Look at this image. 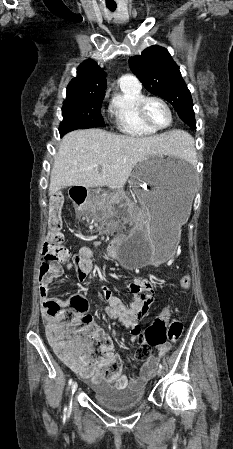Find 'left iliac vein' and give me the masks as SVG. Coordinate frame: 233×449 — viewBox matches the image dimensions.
Listing matches in <instances>:
<instances>
[{"mask_svg":"<svg viewBox=\"0 0 233 449\" xmlns=\"http://www.w3.org/2000/svg\"><path fill=\"white\" fill-rule=\"evenodd\" d=\"M156 373H157L158 376H161L162 375V369L158 368Z\"/></svg>","mask_w":233,"mask_h":449,"instance_id":"obj_1","label":"left iliac vein"}]
</instances>
